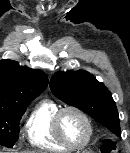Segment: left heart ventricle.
Here are the masks:
<instances>
[{
    "instance_id": "left-heart-ventricle-1",
    "label": "left heart ventricle",
    "mask_w": 130,
    "mask_h": 153,
    "mask_svg": "<svg viewBox=\"0 0 130 153\" xmlns=\"http://www.w3.org/2000/svg\"><path fill=\"white\" fill-rule=\"evenodd\" d=\"M61 131L74 145L82 144L88 134L85 121L75 112H66L61 119Z\"/></svg>"
}]
</instances>
